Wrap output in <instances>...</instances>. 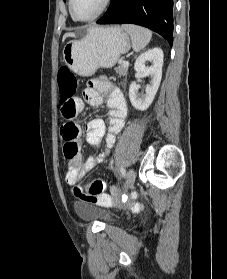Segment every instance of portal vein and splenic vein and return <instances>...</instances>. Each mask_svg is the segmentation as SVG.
<instances>
[{"label":"portal vein and splenic vein","instance_id":"portal-vein-and-splenic-vein-1","mask_svg":"<svg viewBox=\"0 0 227 279\" xmlns=\"http://www.w3.org/2000/svg\"><path fill=\"white\" fill-rule=\"evenodd\" d=\"M123 66H129V62L128 61H123Z\"/></svg>","mask_w":227,"mask_h":279}]
</instances>
